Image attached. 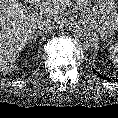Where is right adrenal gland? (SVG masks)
Instances as JSON below:
<instances>
[{"mask_svg":"<svg viewBox=\"0 0 118 118\" xmlns=\"http://www.w3.org/2000/svg\"><path fill=\"white\" fill-rule=\"evenodd\" d=\"M41 35H42L41 32H37L34 36L31 37V40H33V42H35L36 39H37L38 37H40Z\"/></svg>","mask_w":118,"mask_h":118,"instance_id":"right-adrenal-gland-1","label":"right adrenal gland"}]
</instances>
